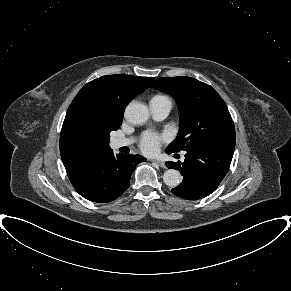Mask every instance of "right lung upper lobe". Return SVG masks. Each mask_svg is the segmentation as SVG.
Returning a JSON list of instances; mask_svg holds the SVG:
<instances>
[{"label": "right lung upper lobe", "instance_id": "1", "mask_svg": "<svg viewBox=\"0 0 291 291\" xmlns=\"http://www.w3.org/2000/svg\"><path fill=\"white\" fill-rule=\"evenodd\" d=\"M153 79L107 75L85 84L78 92L68 108L60 134V154L71 183L111 151L101 129L122 123L127 104L145 91Z\"/></svg>", "mask_w": 291, "mask_h": 291}]
</instances>
